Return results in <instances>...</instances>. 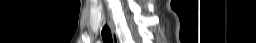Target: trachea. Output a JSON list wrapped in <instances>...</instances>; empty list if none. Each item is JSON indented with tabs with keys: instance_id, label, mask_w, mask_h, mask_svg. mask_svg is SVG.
<instances>
[{
	"instance_id": "trachea-1",
	"label": "trachea",
	"mask_w": 256,
	"mask_h": 43,
	"mask_svg": "<svg viewBox=\"0 0 256 43\" xmlns=\"http://www.w3.org/2000/svg\"><path fill=\"white\" fill-rule=\"evenodd\" d=\"M102 38L104 43H113L111 31H110V28L107 26V24L104 25L102 29Z\"/></svg>"
}]
</instances>
